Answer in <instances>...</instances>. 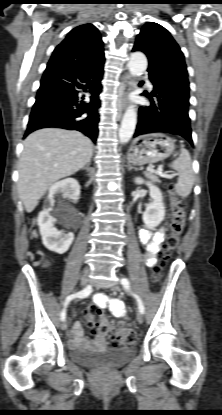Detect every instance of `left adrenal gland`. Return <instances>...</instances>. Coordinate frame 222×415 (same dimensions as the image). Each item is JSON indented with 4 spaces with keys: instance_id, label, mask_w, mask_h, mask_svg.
<instances>
[{
    "instance_id": "left-adrenal-gland-1",
    "label": "left adrenal gland",
    "mask_w": 222,
    "mask_h": 415,
    "mask_svg": "<svg viewBox=\"0 0 222 415\" xmlns=\"http://www.w3.org/2000/svg\"><path fill=\"white\" fill-rule=\"evenodd\" d=\"M128 169L132 170V169H135V168L132 165L128 164Z\"/></svg>"
}]
</instances>
